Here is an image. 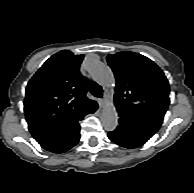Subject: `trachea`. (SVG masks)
Listing matches in <instances>:
<instances>
[{
	"label": "trachea",
	"mask_w": 194,
	"mask_h": 193,
	"mask_svg": "<svg viewBox=\"0 0 194 193\" xmlns=\"http://www.w3.org/2000/svg\"><path fill=\"white\" fill-rule=\"evenodd\" d=\"M90 92L93 96L98 97V98H102L103 96V90L102 87L99 86L97 83L92 82L90 85Z\"/></svg>",
	"instance_id": "3493384b"
}]
</instances>
